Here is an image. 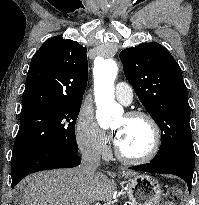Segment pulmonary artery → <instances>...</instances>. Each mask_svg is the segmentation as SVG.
<instances>
[{"label": "pulmonary artery", "mask_w": 199, "mask_h": 205, "mask_svg": "<svg viewBox=\"0 0 199 205\" xmlns=\"http://www.w3.org/2000/svg\"><path fill=\"white\" fill-rule=\"evenodd\" d=\"M115 96L119 102L128 105L133 100V89L128 83L119 82L115 87Z\"/></svg>", "instance_id": "e3ab8cb5"}]
</instances>
